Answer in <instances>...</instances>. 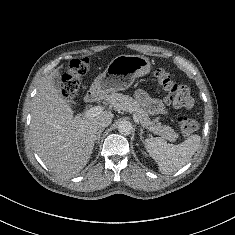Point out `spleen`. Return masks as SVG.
<instances>
[{
	"instance_id": "1",
	"label": "spleen",
	"mask_w": 235,
	"mask_h": 235,
	"mask_svg": "<svg viewBox=\"0 0 235 235\" xmlns=\"http://www.w3.org/2000/svg\"><path fill=\"white\" fill-rule=\"evenodd\" d=\"M201 137L192 135L178 145L167 143L162 138H147L145 147L158 164L159 171L169 174L177 171L190 161L199 148Z\"/></svg>"
}]
</instances>
